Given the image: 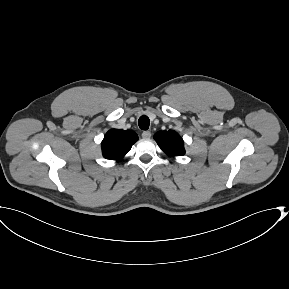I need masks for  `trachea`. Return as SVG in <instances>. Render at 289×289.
<instances>
[{"label":"trachea","instance_id":"3493384b","mask_svg":"<svg viewBox=\"0 0 289 289\" xmlns=\"http://www.w3.org/2000/svg\"><path fill=\"white\" fill-rule=\"evenodd\" d=\"M139 128L142 130H148L150 125V120L147 116H141L138 120Z\"/></svg>","mask_w":289,"mask_h":289}]
</instances>
